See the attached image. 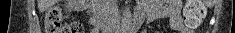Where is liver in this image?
Segmentation results:
<instances>
[{
    "label": "liver",
    "instance_id": "6515ba94",
    "mask_svg": "<svg viewBox=\"0 0 235 33\" xmlns=\"http://www.w3.org/2000/svg\"><path fill=\"white\" fill-rule=\"evenodd\" d=\"M55 0H37L39 12H44L55 4Z\"/></svg>",
    "mask_w": 235,
    "mask_h": 33
}]
</instances>
